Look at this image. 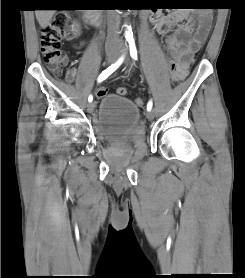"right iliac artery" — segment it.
<instances>
[{
  "label": "right iliac artery",
  "instance_id": "obj_1",
  "mask_svg": "<svg viewBox=\"0 0 245 278\" xmlns=\"http://www.w3.org/2000/svg\"><path fill=\"white\" fill-rule=\"evenodd\" d=\"M124 57L122 56L116 63L109 66L106 70L102 71V73L98 77V82H102L105 80L110 74H112L123 62ZM93 97L90 95L88 98L89 102H92Z\"/></svg>",
  "mask_w": 245,
  "mask_h": 278
}]
</instances>
